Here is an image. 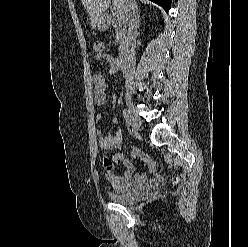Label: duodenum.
<instances>
[{
    "label": "duodenum",
    "instance_id": "duodenum-1",
    "mask_svg": "<svg viewBox=\"0 0 248 247\" xmlns=\"http://www.w3.org/2000/svg\"><path fill=\"white\" fill-rule=\"evenodd\" d=\"M105 20L108 21V18L105 17ZM132 56L130 53L124 55L123 59L121 60L120 67L124 73H128L132 67Z\"/></svg>",
    "mask_w": 248,
    "mask_h": 247
}]
</instances>
